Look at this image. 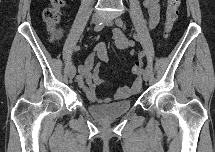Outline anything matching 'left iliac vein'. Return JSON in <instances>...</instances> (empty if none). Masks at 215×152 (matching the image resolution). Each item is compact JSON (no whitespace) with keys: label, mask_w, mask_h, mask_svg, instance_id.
<instances>
[{"label":"left iliac vein","mask_w":215,"mask_h":152,"mask_svg":"<svg viewBox=\"0 0 215 152\" xmlns=\"http://www.w3.org/2000/svg\"><path fill=\"white\" fill-rule=\"evenodd\" d=\"M103 22L108 26H111L113 24V21L110 18H104ZM143 71H144L143 74H142L143 79H144V81H148V79L150 77V69L145 68Z\"/></svg>","instance_id":"left-iliac-vein-1"}]
</instances>
